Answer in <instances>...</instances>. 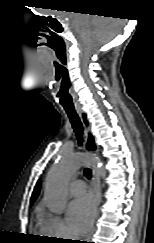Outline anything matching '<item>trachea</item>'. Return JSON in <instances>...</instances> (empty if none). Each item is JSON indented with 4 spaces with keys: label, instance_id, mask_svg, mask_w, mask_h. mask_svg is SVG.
Instances as JSON below:
<instances>
[{
    "label": "trachea",
    "instance_id": "obj_1",
    "mask_svg": "<svg viewBox=\"0 0 154 243\" xmlns=\"http://www.w3.org/2000/svg\"><path fill=\"white\" fill-rule=\"evenodd\" d=\"M66 114L68 115L70 122L72 124V128L76 134L77 140L79 145H82L83 142V126L81 123V120L76 112V110L70 109V108H64ZM84 175L86 178L90 179L91 178V170L89 168L84 169Z\"/></svg>",
    "mask_w": 154,
    "mask_h": 243
}]
</instances>
